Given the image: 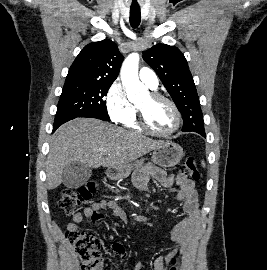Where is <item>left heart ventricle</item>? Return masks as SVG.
Segmentation results:
<instances>
[{
    "instance_id": "1",
    "label": "left heart ventricle",
    "mask_w": 267,
    "mask_h": 270,
    "mask_svg": "<svg viewBox=\"0 0 267 270\" xmlns=\"http://www.w3.org/2000/svg\"><path fill=\"white\" fill-rule=\"evenodd\" d=\"M137 106L142 109L147 123L154 130L168 132L173 128L175 116L166 102L153 100L150 95H147Z\"/></svg>"
}]
</instances>
